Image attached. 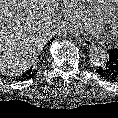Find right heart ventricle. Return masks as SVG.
<instances>
[{
    "instance_id": "e07e8e85",
    "label": "right heart ventricle",
    "mask_w": 118,
    "mask_h": 118,
    "mask_svg": "<svg viewBox=\"0 0 118 118\" xmlns=\"http://www.w3.org/2000/svg\"><path fill=\"white\" fill-rule=\"evenodd\" d=\"M80 11L88 20L104 22L110 16L111 5L115 0H75ZM117 1V0H116Z\"/></svg>"
}]
</instances>
